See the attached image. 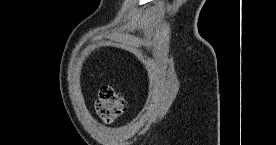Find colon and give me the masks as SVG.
I'll return each instance as SVG.
<instances>
[{
	"label": "colon",
	"mask_w": 276,
	"mask_h": 145,
	"mask_svg": "<svg viewBox=\"0 0 276 145\" xmlns=\"http://www.w3.org/2000/svg\"><path fill=\"white\" fill-rule=\"evenodd\" d=\"M124 98L113 86H103L99 90L96 110L102 120L115 122L124 111Z\"/></svg>",
	"instance_id": "1"
}]
</instances>
